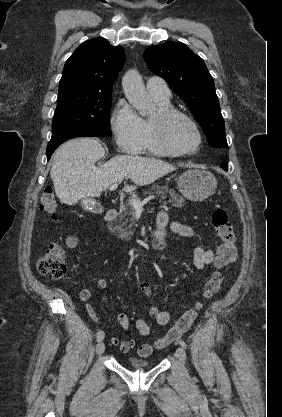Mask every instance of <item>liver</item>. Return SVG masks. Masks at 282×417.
<instances>
[{"mask_svg": "<svg viewBox=\"0 0 282 417\" xmlns=\"http://www.w3.org/2000/svg\"><path fill=\"white\" fill-rule=\"evenodd\" d=\"M105 150L96 138H72L57 148L51 178L61 202L75 204L84 196H100L111 184L131 178L137 186L151 184L160 176L176 170L173 164L154 156L118 154L101 166H95ZM137 186L126 184L123 190L131 192Z\"/></svg>", "mask_w": 282, "mask_h": 417, "instance_id": "1", "label": "liver"}]
</instances>
